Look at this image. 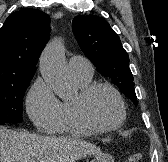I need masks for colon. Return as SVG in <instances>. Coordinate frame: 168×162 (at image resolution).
Returning a JSON list of instances; mask_svg holds the SVG:
<instances>
[{
	"label": "colon",
	"instance_id": "obj_1",
	"mask_svg": "<svg viewBox=\"0 0 168 162\" xmlns=\"http://www.w3.org/2000/svg\"><path fill=\"white\" fill-rule=\"evenodd\" d=\"M128 162H143V156L140 153H134L130 155Z\"/></svg>",
	"mask_w": 168,
	"mask_h": 162
}]
</instances>
